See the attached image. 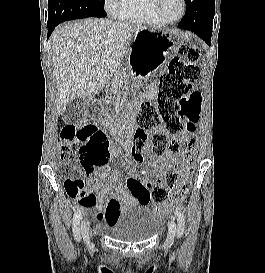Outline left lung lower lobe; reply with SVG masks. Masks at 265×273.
<instances>
[{"mask_svg": "<svg viewBox=\"0 0 265 273\" xmlns=\"http://www.w3.org/2000/svg\"><path fill=\"white\" fill-rule=\"evenodd\" d=\"M215 0H191L178 27L196 33L208 45H211L212 27L204 22L206 11L214 7Z\"/></svg>", "mask_w": 265, "mask_h": 273, "instance_id": "1", "label": "left lung lower lobe"}]
</instances>
